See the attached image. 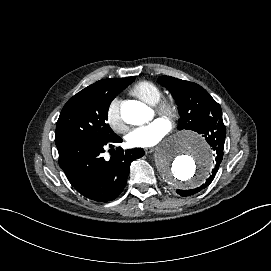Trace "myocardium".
Here are the masks:
<instances>
[{
  "label": "myocardium",
  "mask_w": 271,
  "mask_h": 271,
  "mask_svg": "<svg viewBox=\"0 0 271 271\" xmlns=\"http://www.w3.org/2000/svg\"><path fill=\"white\" fill-rule=\"evenodd\" d=\"M180 105L173 98H164L159 100L155 106V113L166 119L171 125H174L180 117Z\"/></svg>",
  "instance_id": "obj_1"
}]
</instances>
